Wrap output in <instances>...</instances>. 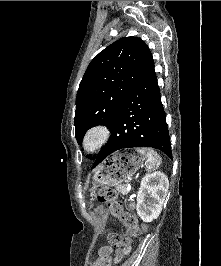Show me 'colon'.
Masks as SVG:
<instances>
[{"label":"colon","instance_id":"colon-1","mask_svg":"<svg viewBox=\"0 0 221 266\" xmlns=\"http://www.w3.org/2000/svg\"><path fill=\"white\" fill-rule=\"evenodd\" d=\"M98 200L102 204L106 205L109 209L111 214L118 218L122 224L127 229V234L131 237H138L143 230H145V225L140 226L138 223L137 217L130 213L125 212L122 209L121 204L117 200L116 193L113 189L108 187L100 188L98 192ZM108 242L112 245H117L124 241L125 236L120 233H110L107 236ZM108 259L107 257L103 256L97 261V266H107Z\"/></svg>","mask_w":221,"mask_h":266}]
</instances>
